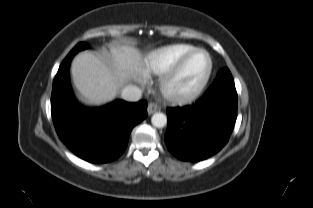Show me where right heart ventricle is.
<instances>
[{
  "label": "right heart ventricle",
  "instance_id": "1",
  "mask_svg": "<svg viewBox=\"0 0 313 208\" xmlns=\"http://www.w3.org/2000/svg\"><path fill=\"white\" fill-rule=\"evenodd\" d=\"M196 48L187 44H172L152 51L143 69L146 77L160 76L173 69L177 63Z\"/></svg>",
  "mask_w": 313,
  "mask_h": 208
}]
</instances>
